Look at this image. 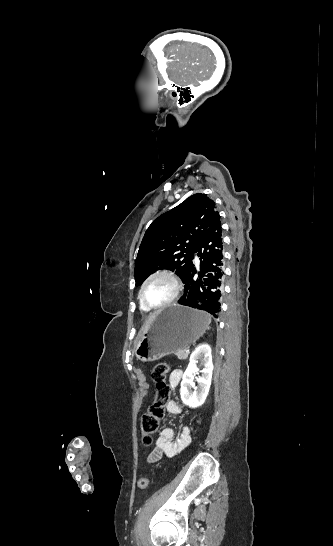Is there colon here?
<instances>
[{
	"label": "colon",
	"mask_w": 333,
	"mask_h": 546,
	"mask_svg": "<svg viewBox=\"0 0 333 546\" xmlns=\"http://www.w3.org/2000/svg\"><path fill=\"white\" fill-rule=\"evenodd\" d=\"M169 366L165 362L158 363L151 372V378L156 385V398L149 410L141 418L142 442L149 445L154 435L159 431L161 420L164 417L165 406L169 402L171 387L166 382ZM150 485L148 478H142L138 482L141 490H146Z\"/></svg>",
	"instance_id": "colon-1"
}]
</instances>
